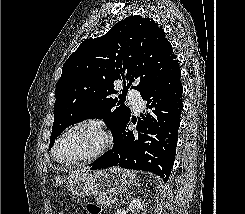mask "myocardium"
Here are the masks:
<instances>
[{
    "label": "myocardium",
    "instance_id": "f54148a6",
    "mask_svg": "<svg viewBox=\"0 0 245 214\" xmlns=\"http://www.w3.org/2000/svg\"><path fill=\"white\" fill-rule=\"evenodd\" d=\"M82 128H88V129H91V130L97 132L101 138L100 145L93 152H91L90 154L85 155L83 157L69 159V160L59 159L57 157V147H58L60 141L70 132L77 130V129H82ZM111 144H112V140H111L110 135L99 124L92 122V121L79 122V123H76V124L70 126L69 128H67L55 140L54 145L52 147V156L57 162H59L61 164L77 165V164H81V163H85V162H91V161L98 159L111 147Z\"/></svg>",
    "mask_w": 245,
    "mask_h": 214
}]
</instances>
